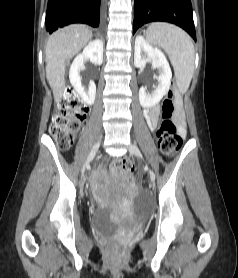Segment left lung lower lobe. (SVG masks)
Masks as SVG:
<instances>
[{
  "label": "left lung lower lobe",
  "instance_id": "obj_1",
  "mask_svg": "<svg viewBox=\"0 0 238 278\" xmlns=\"http://www.w3.org/2000/svg\"><path fill=\"white\" fill-rule=\"evenodd\" d=\"M154 21L176 24L196 41L190 0H135L133 34L145 23Z\"/></svg>",
  "mask_w": 238,
  "mask_h": 278
}]
</instances>
